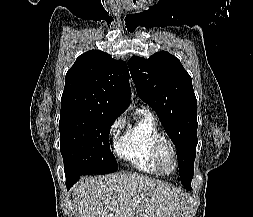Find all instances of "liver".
Wrapping results in <instances>:
<instances>
[{"mask_svg":"<svg viewBox=\"0 0 253 217\" xmlns=\"http://www.w3.org/2000/svg\"><path fill=\"white\" fill-rule=\"evenodd\" d=\"M76 217H181L184 194L138 174L86 177L72 188Z\"/></svg>","mask_w":253,"mask_h":217,"instance_id":"1","label":"liver"}]
</instances>
